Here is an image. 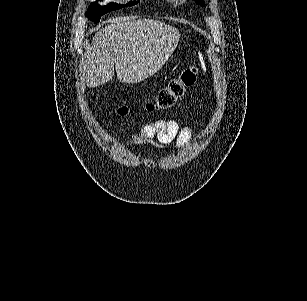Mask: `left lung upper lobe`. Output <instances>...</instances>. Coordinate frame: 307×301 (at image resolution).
I'll use <instances>...</instances> for the list:
<instances>
[{
	"label": "left lung upper lobe",
	"mask_w": 307,
	"mask_h": 301,
	"mask_svg": "<svg viewBox=\"0 0 307 301\" xmlns=\"http://www.w3.org/2000/svg\"><path fill=\"white\" fill-rule=\"evenodd\" d=\"M195 2H196L197 4H200V5H202V6H205V2H204L203 0H195Z\"/></svg>",
	"instance_id": "obj_1"
}]
</instances>
